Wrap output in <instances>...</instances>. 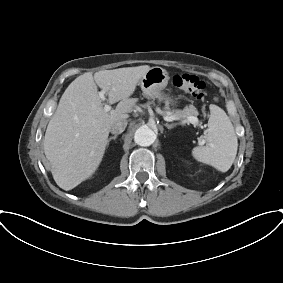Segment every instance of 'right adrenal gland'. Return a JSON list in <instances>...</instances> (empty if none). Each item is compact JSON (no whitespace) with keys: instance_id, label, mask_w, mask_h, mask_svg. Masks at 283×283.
I'll return each mask as SVG.
<instances>
[{"instance_id":"right-adrenal-gland-1","label":"right adrenal gland","mask_w":283,"mask_h":283,"mask_svg":"<svg viewBox=\"0 0 283 283\" xmlns=\"http://www.w3.org/2000/svg\"><path fill=\"white\" fill-rule=\"evenodd\" d=\"M118 135H114L112 137H110L108 140H107V146L109 145L110 141L111 140H115L117 138Z\"/></svg>"}]
</instances>
